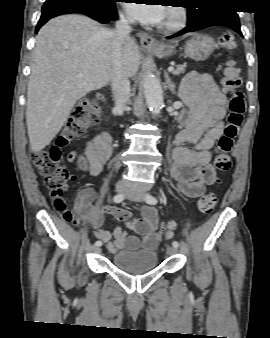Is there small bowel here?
<instances>
[{
  "label": "small bowel",
  "mask_w": 270,
  "mask_h": 338,
  "mask_svg": "<svg viewBox=\"0 0 270 338\" xmlns=\"http://www.w3.org/2000/svg\"><path fill=\"white\" fill-rule=\"evenodd\" d=\"M180 97L191 109L183 117V128L175 139L174 164L171 173L178 182L179 190L188 198L198 199L205 194L206 185L213 183L214 171L211 160L217 152L215 142L223 134V119L227 113V99L220 92L212 78L196 71L184 78ZM194 145V148L184 145ZM112 151V138L106 132L91 139L84 153L70 152L67 159L78 169L92 176L99 175ZM96 193L93 187L86 186L74 197L75 211L73 222L89 224L95 236L106 243L108 250H138L141 246L154 250L161 240L157 232L158 213L153 206H144L142 218L136 219L132 228L136 235H128L118 226L113 233L103 229V219L96 209ZM62 204L65 205L64 200ZM107 211L119 220L127 222L131 214L117 207H107Z\"/></svg>",
  "instance_id": "1"
}]
</instances>
